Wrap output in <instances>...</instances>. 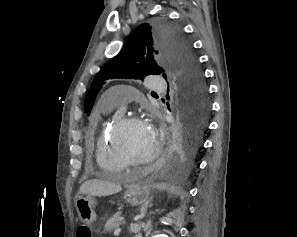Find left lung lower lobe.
I'll list each match as a JSON object with an SVG mask.
<instances>
[{
  "instance_id": "1",
  "label": "left lung lower lobe",
  "mask_w": 297,
  "mask_h": 237,
  "mask_svg": "<svg viewBox=\"0 0 297 237\" xmlns=\"http://www.w3.org/2000/svg\"><path fill=\"white\" fill-rule=\"evenodd\" d=\"M176 107L182 119V128L176 131L172 138L167 160L170 167L187 163L196 154L202 143L210 110L209 104L197 105L180 92H177Z\"/></svg>"
}]
</instances>
